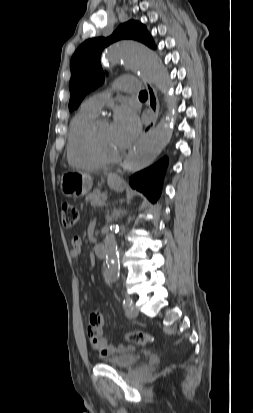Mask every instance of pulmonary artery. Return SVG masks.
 I'll list each match as a JSON object with an SVG mask.
<instances>
[{
  "label": "pulmonary artery",
  "mask_w": 253,
  "mask_h": 413,
  "mask_svg": "<svg viewBox=\"0 0 253 413\" xmlns=\"http://www.w3.org/2000/svg\"><path fill=\"white\" fill-rule=\"evenodd\" d=\"M118 88L123 90V91H128V92H133L137 91L139 89V85H118ZM108 94L107 93H102V94H97L94 95L88 99H86L83 102V107L94 112L98 113L104 103V101L107 99Z\"/></svg>",
  "instance_id": "1"
}]
</instances>
